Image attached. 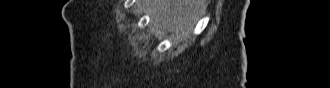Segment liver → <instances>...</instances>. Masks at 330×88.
<instances>
[{
    "label": "liver",
    "instance_id": "obj_1",
    "mask_svg": "<svg viewBox=\"0 0 330 88\" xmlns=\"http://www.w3.org/2000/svg\"><path fill=\"white\" fill-rule=\"evenodd\" d=\"M150 13L154 21L168 26L177 37H186L200 12L206 8L205 0H154Z\"/></svg>",
    "mask_w": 330,
    "mask_h": 88
}]
</instances>
